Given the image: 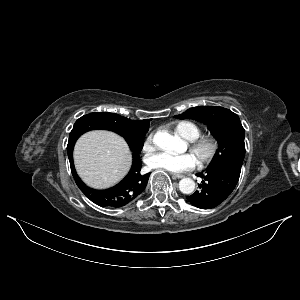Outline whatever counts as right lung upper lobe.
Here are the masks:
<instances>
[{
    "label": "right lung upper lobe",
    "mask_w": 300,
    "mask_h": 300,
    "mask_svg": "<svg viewBox=\"0 0 300 300\" xmlns=\"http://www.w3.org/2000/svg\"><path fill=\"white\" fill-rule=\"evenodd\" d=\"M118 115V114H116ZM119 121L122 123V125L127 128L128 130L132 132H147L149 129V122L150 119H144V120H130L125 117H122L118 115Z\"/></svg>",
    "instance_id": "cb5924a9"
}]
</instances>
